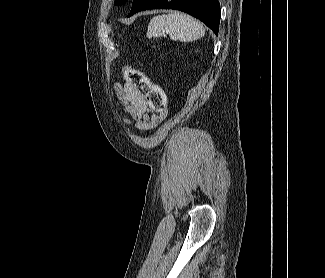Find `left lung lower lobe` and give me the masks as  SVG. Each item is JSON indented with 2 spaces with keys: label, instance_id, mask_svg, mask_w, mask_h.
I'll return each mask as SVG.
<instances>
[{
  "label": "left lung lower lobe",
  "instance_id": "obj_1",
  "mask_svg": "<svg viewBox=\"0 0 325 278\" xmlns=\"http://www.w3.org/2000/svg\"><path fill=\"white\" fill-rule=\"evenodd\" d=\"M147 9H175L186 12L201 20L218 35L220 22L218 0H134L128 17Z\"/></svg>",
  "mask_w": 325,
  "mask_h": 278
}]
</instances>
